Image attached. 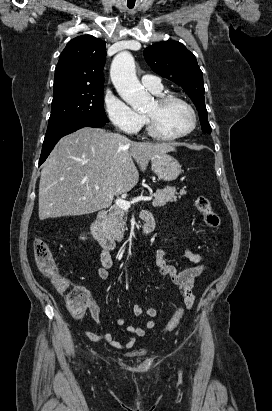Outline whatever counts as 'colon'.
Segmentation results:
<instances>
[{
	"instance_id": "1",
	"label": "colon",
	"mask_w": 272,
	"mask_h": 411,
	"mask_svg": "<svg viewBox=\"0 0 272 411\" xmlns=\"http://www.w3.org/2000/svg\"><path fill=\"white\" fill-rule=\"evenodd\" d=\"M195 205L201 213L205 223L212 229L220 226V217L213 210L210 200L205 196H199L195 200ZM34 259L39 272L50 280L56 290L65 298L67 306L73 317L80 319L83 317L86 308L90 303L89 294L74 284H72L58 269L51 253L50 247L43 238H37L33 246ZM191 299L187 298L184 305L176 309L173 317L165 327L166 332L173 331L179 324L184 314V309L189 308Z\"/></svg>"
}]
</instances>
